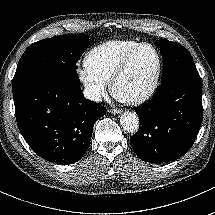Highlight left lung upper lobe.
<instances>
[{
    "mask_svg": "<svg viewBox=\"0 0 215 215\" xmlns=\"http://www.w3.org/2000/svg\"><path fill=\"white\" fill-rule=\"evenodd\" d=\"M163 55V73L161 83L183 71L194 69L195 64L186 48L182 45L166 39L155 42Z\"/></svg>",
    "mask_w": 215,
    "mask_h": 215,
    "instance_id": "1",
    "label": "left lung upper lobe"
}]
</instances>
